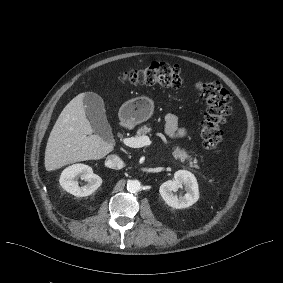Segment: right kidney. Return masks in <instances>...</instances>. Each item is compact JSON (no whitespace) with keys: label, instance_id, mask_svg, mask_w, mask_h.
Returning a JSON list of instances; mask_svg holds the SVG:
<instances>
[{"label":"right kidney","instance_id":"1","mask_svg":"<svg viewBox=\"0 0 283 283\" xmlns=\"http://www.w3.org/2000/svg\"><path fill=\"white\" fill-rule=\"evenodd\" d=\"M80 177L87 183L79 186L77 178ZM60 185L64 190L76 197L91 195L102 184L100 176L93 173L90 166L84 164H74L63 170L60 176Z\"/></svg>","mask_w":283,"mask_h":283}]
</instances>
